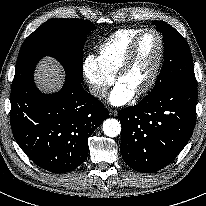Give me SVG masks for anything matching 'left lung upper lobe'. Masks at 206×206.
<instances>
[{"label": "left lung upper lobe", "mask_w": 206, "mask_h": 206, "mask_svg": "<svg viewBox=\"0 0 206 206\" xmlns=\"http://www.w3.org/2000/svg\"><path fill=\"white\" fill-rule=\"evenodd\" d=\"M153 24L164 37V64L148 96L180 84L196 85L192 55L186 40L167 23L154 21Z\"/></svg>", "instance_id": "obj_1"}]
</instances>
